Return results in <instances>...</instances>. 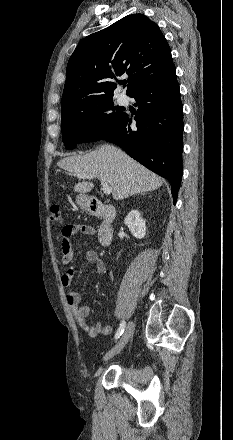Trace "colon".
Here are the masks:
<instances>
[{
  "instance_id": "1",
  "label": "colon",
  "mask_w": 233,
  "mask_h": 440,
  "mask_svg": "<svg viewBox=\"0 0 233 440\" xmlns=\"http://www.w3.org/2000/svg\"><path fill=\"white\" fill-rule=\"evenodd\" d=\"M51 220L55 224H61L63 222V213L61 207L57 204H53L50 208Z\"/></svg>"
}]
</instances>
